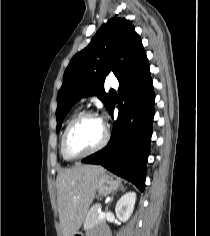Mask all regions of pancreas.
<instances>
[{
  "label": "pancreas",
  "mask_w": 210,
  "mask_h": 236,
  "mask_svg": "<svg viewBox=\"0 0 210 236\" xmlns=\"http://www.w3.org/2000/svg\"><path fill=\"white\" fill-rule=\"evenodd\" d=\"M102 206L99 203L94 204L90 210L88 211L86 217H85V221H84V229L88 230L91 229L92 227L105 222V219L99 218V213H98V209H100Z\"/></svg>",
  "instance_id": "1"
}]
</instances>
